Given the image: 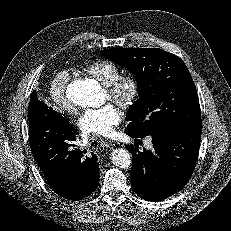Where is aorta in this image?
<instances>
[{
	"label": "aorta",
	"instance_id": "1",
	"mask_svg": "<svg viewBox=\"0 0 231 231\" xmlns=\"http://www.w3.org/2000/svg\"><path fill=\"white\" fill-rule=\"evenodd\" d=\"M66 97L73 105L81 108L98 107L103 102L101 88L88 79L72 81L66 90ZM112 163L119 168H128L131 165V155L125 149H114L111 155Z\"/></svg>",
	"mask_w": 231,
	"mask_h": 231
}]
</instances>
